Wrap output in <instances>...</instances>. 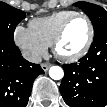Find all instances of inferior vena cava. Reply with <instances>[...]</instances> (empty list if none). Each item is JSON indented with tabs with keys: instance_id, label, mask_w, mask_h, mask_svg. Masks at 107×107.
I'll list each match as a JSON object with an SVG mask.
<instances>
[{
	"instance_id": "inferior-vena-cava-1",
	"label": "inferior vena cava",
	"mask_w": 107,
	"mask_h": 107,
	"mask_svg": "<svg viewBox=\"0 0 107 107\" xmlns=\"http://www.w3.org/2000/svg\"><path fill=\"white\" fill-rule=\"evenodd\" d=\"M22 56L29 62L32 63H40L42 61V57L38 53H31L29 51H23Z\"/></svg>"
}]
</instances>
